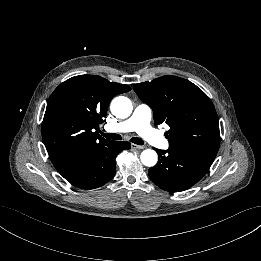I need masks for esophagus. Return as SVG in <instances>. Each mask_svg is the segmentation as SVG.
<instances>
[{
  "label": "esophagus",
  "mask_w": 261,
  "mask_h": 261,
  "mask_svg": "<svg viewBox=\"0 0 261 261\" xmlns=\"http://www.w3.org/2000/svg\"><path fill=\"white\" fill-rule=\"evenodd\" d=\"M132 148L144 149V148H146V146H144V145H135V144H132Z\"/></svg>",
  "instance_id": "obj_1"
}]
</instances>
